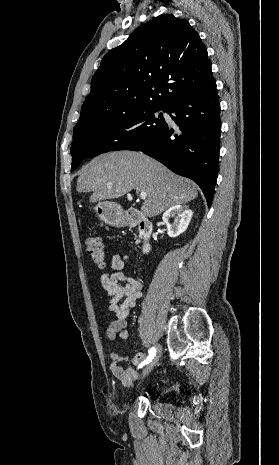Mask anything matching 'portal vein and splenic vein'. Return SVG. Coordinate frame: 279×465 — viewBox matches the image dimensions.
<instances>
[{"instance_id":"portal-vein-and-splenic-vein-1","label":"portal vein and splenic vein","mask_w":279,"mask_h":465,"mask_svg":"<svg viewBox=\"0 0 279 465\" xmlns=\"http://www.w3.org/2000/svg\"><path fill=\"white\" fill-rule=\"evenodd\" d=\"M146 197H147L146 192H141V193H140V198H141L142 200H145Z\"/></svg>"}]
</instances>
